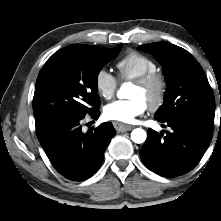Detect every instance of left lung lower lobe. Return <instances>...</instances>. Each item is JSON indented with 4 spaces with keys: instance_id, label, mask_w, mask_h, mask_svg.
Returning <instances> with one entry per match:
<instances>
[{
    "instance_id": "left-lung-lower-lobe-1",
    "label": "left lung lower lobe",
    "mask_w": 221,
    "mask_h": 221,
    "mask_svg": "<svg viewBox=\"0 0 221 221\" xmlns=\"http://www.w3.org/2000/svg\"><path fill=\"white\" fill-rule=\"evenodd\" d=\"M165 122L173 129L158 133L147 132V139L140 150L144 165L162 176H180L191 171L206 152L212 128L190 117H178Z\"/></svg>"
}]
</instances>
